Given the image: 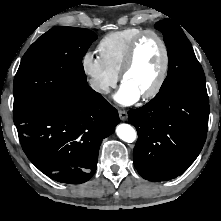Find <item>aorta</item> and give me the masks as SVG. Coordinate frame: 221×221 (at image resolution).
<instances>
[{
	"instance_id": "1",
	"label": "aorta",
	"mask_w": 221,
	"mask_h": 221,
	"mask_svg": "<svg viewBox=\"0 0 221 221\" xmlns=\"http://www.w3.org/2000/svg\"><path fill=\"white\" fill-rule=\"evenodd\" d=\"M116 134L117 136L128 143H132L136 139V131L134 128L129 124H119L116 127Z\"/></svg>"
}]
</instances>
